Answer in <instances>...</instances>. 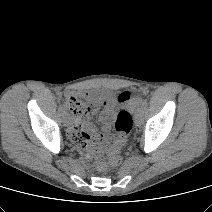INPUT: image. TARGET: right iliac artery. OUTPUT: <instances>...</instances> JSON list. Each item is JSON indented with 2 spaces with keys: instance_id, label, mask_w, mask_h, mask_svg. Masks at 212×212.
<instances>
[{
  "instance_id": "obj_1",
  "label": "right iliac artery",
  "mask_w": 212,
  "mask_h": 212,
  "mask_svg": "<svg viewBox=\"0 0 212 212\" xmlns=\"http://www.w3.org/2000/svg\"><path fill=\"white\" fill-rule=\"evenodd\" d=\"M59 109H60L61 112H63V113L65 112V111H64V106H63V105H60V108H59Z\"/></svg>"
}]
</instances>
